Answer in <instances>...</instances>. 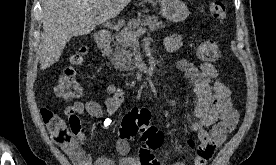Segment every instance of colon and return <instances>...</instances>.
<instances>
[{
	"instance_id": "1",
	"label": "colon",
	"mask_w": 276,
	"mask_h": 165,
	"mask_svg": "<svg viewBox=\"0 0 276 165\" xmlns=\"http://www.w3.org/2000/svg\"><path fill=\"white\" fill-rule=\"evenodd\" d=\"M209 11L219 25L227 18L226 6L220 0L212 1L209 5ZM87 54V49L80 50L72 57L70 64L60 75L54 87V93L58 98L71 100L81 94L78 66L84 62ZM197 55L204 62H213L220 58L221 51L215 41L205 40L198 46ZM45 117L50 123V134L58 144L66 145L76 141L79 131L78 125H66L54 112L46 113ZM137 135L141 136L139 151L142 153L153 152L163 144V132L151 124V112L147 108H133L122 119L119 128L120 139L129 140ZM190 144L193 145V141H190Z\"/></svg>"
}]
</instances>
